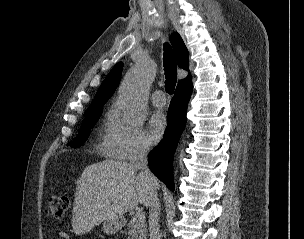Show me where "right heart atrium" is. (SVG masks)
Here are the masks:
<instances>
[{
	"mask_svg": "<svg viewBox=\"0 0 304 239\" xmlns=\"http://www.w3.org/2000/svg\"><path fill=\"white\" fill-rule=\"evenodd\" d=\"M100 146L109 155L119 159L145 155L150 148L143 130L127 122L118 112L111 116Z\"/></svg>",
	"mask_w": 304,
	"mask_h": 239,
	"instance_id": "d8ad5b80",
	"label": "right heart atrium"
}]
</instances>
